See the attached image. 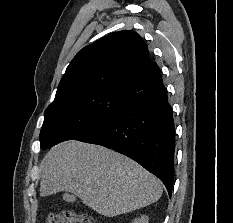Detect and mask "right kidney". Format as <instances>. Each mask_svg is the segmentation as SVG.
Here are the masks:
<instances>
[{
	"label": "right kidney",
	"mask_w": 233,
	"mask_h": 223,
	"mask_svg": "<svg viewBox=\"0 0 233 223\" xmlns=\"http://www.w3.org/2000/svg\"><path fill=\"white\" fill-rule=\"evenodd\" d=\"M132 223H149L148 215H141V217H135Z\"/></svg>",
	"instance_id": "obj_1"
}]
</instances>
